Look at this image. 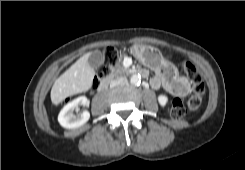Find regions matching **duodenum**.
<instances>
[{"instance_id": "obj_1", "label": "duodenum", "mask_w": 245, "mask_h": 170, "mask_svg": "<svg viewBox=\"0 0 245 170\" xmlns=\"http://www.w3.org/2000/svg\"><path fill=\"white\" fill-rule=\"evenodd\" d=\"M138 73L141 76L145 75V71L144 70H140ZM109 82H110L109 79H105V80L101 81L100 84L98 85V90L99 91L104 90L108 86Z\"/></svg>"}]
</instances>
